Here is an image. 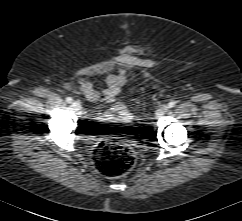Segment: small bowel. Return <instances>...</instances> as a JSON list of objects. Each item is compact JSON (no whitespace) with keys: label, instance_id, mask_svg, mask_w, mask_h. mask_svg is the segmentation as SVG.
I'll list each match as a JSON object with an SVG mask.
<instances>
[{"label":"small bowel","instance_id":"small-bowel-1","mask_svg":"<svg viewBox=\"0 0 242 221\" xmlns=\"http://www.w3.org/2000/svg\"><path fill=\"white\" fill-rule=\"evenodd\" d=\"M126 79V70L120 67L115 74H111L106 79V87L103 89H96L90 82L82 81L76 86V91L85 95L87 99L96 103L112 104L111 110H98L92 115V121L97 125H105L114 114H121L124 109L120 103H116L115 99L120 87L124 84Z\"/></svg>","mask_w":242,"mask_h":221}]
</instances>
